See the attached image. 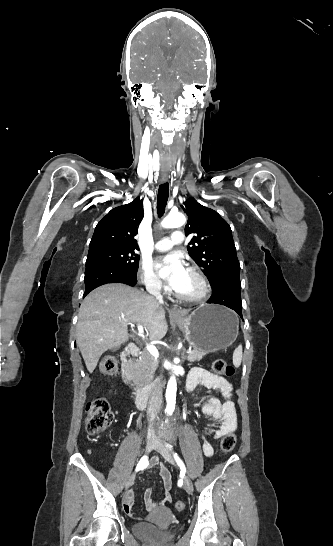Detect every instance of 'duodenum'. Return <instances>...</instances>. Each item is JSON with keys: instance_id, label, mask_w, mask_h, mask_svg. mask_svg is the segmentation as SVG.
<instances>
[{"instance_id": "obj_1", "label": "duodenum", "mask_w": 333, "mask_h": 546, "mask_svg": "<svg viewBox=\"0 0 333 546\" xmlns=\"http://www.w3.org/2000/svg\"><path fill=\"white\" fill-rule=\"evenodd\" d=\"M138 355L139 349L137 346L130 344L126 347L122 354V378L130 389L134 403L139 408H144L149 402L157 399L162 380L149 390L137 384L135 381L134 360Z\"/></svg>"}]
</instances>
